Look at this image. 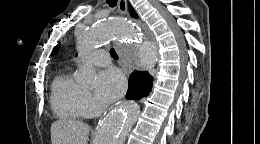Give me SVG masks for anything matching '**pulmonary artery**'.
I'll return each instance as SVG.
<instances>
[{"instance_id": "pulmonary-artery-1", "label": "pulmonary artery", "mask_w": 260, "mask_h": 144, "mask_svg": "<svg viewBox=\"0 0 260 144\" xmlns=\"http://www.w3.org/2000/svg\"><path fill=\"white\" fill-rule=\"evenodd\" d=\"M90 60L97 66L105 67L111 63V57L105 50H98L90 56Z\"/></svg>"}]
</instances>
